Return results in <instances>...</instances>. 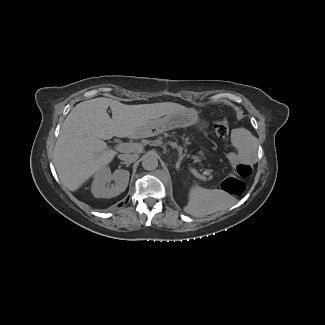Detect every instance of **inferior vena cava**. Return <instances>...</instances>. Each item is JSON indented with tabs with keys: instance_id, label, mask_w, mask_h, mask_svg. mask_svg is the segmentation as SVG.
<instances>
[{
	"instance_id": "602c4592",
	"label": "inferior vena cava",
	"mask_w": 325,
	"mask_h": 325,
	"mask_svg": "<svg viewBox=\"0 0 325 325\" xmlns=\"http://www.w3.org/2000/svg\"><path fill=\"white\" fill-rule=\"evenodd\" d=\"M138 155L137 154H120L118 155V158L120 160H123L126 163H133L138 159Z\"/></svg>"
}]
</instances>
